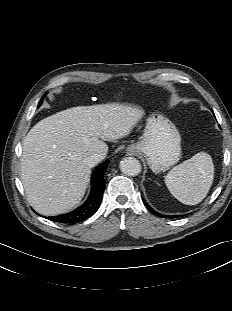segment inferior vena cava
Here are the masks:
<instances>
[{"label":"inferior vena cava","instance_id":"inferior-vena-cava-1","mask_svg":"<svg viewBox=\"0 0 232 311\" xmlns=\"http://www.w3.org/2000/svg\"><path fill=\"white\" fill-rule=\"evenodd\" d=\"M105 155L101 154V153H94L93 155L89 156L86 159V164L89 167H94L96 164H98L100 161H102L103 159H105Z\"/></svg>","mask_w":232,"mask_h":311}]
</instances>
